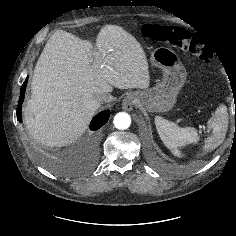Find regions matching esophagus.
Here are the masks:
<instances>
[{
	"label": "esophagus",
	"instance_id": "1",
	"mask_svg": "<svg viewBox=\"0 0 236 236\" xmlns=\"http://www.w3.org/2000/svg\"><path fill=\"white\" fill-rule=\"evenodd\" d=\"M135 96L133 94H129L126 96L122 102V108L126 111H131L135 105Z\"/></svg>",
	"mask_w": 236,
	"mask_h": 236
}]
</instances>
